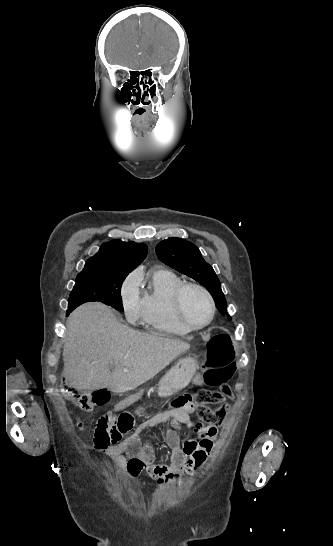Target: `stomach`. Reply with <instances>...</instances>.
Listing matches in <instances>:
<instances>
[{
    "label": "stomach",
    "mask_w": 333,
    "mask_h": 546,
    "mask_svg": "<svg viewBox=\"0 0 333 546\" xmlns=\"http://www.w3.org/2000/svg\"><path fill=\"white\" fill-rule=\"evenodd\" d=\"M199 368L195 357L187 356L180 359L159 381L157 391L159 396H170L184 388L191 381V375Z\"/></svg>",
    "instance_id": "0dacf381"
}]
</instances>
